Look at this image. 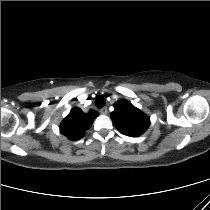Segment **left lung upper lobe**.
Listing matches in <instances>:
<instances>
[{
	"mask_svg": "<svg viewBox=\"0 0 210 210\" xmlns=\"http://www.w3.org/2000/svg\"><path fill=\"white\" fill-rule=\"evenodd\" d=\"M111 119L115 127L124 135L136 137L145 132L150 124L149 117L134 107L129 101L121 100L114 104Z\"/></svg>",
	"mask_w": 210,
	"mask_h": 210,
	"instance_id": "left-lung-upper-lobe-1",
	"label": "left lung upper lobe"
}]
</instances>
